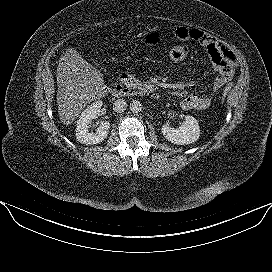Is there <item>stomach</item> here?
<instances>
[{"label": "stomach", "instance_id": "stomach-1", "mask_svg": "<svg viewBox=\"0 0 272 272\" xmlns=\"http://www.w3.org/2000/svg\"><path fill=\"white\" fill-rule=\"evenodd\" d=\"M158 31L156 28H147L144 31L145 40L149 42L154 41L157 38Z\"/></svg>", "mask_w": 272, "mask_h": 272}]
</instances>
